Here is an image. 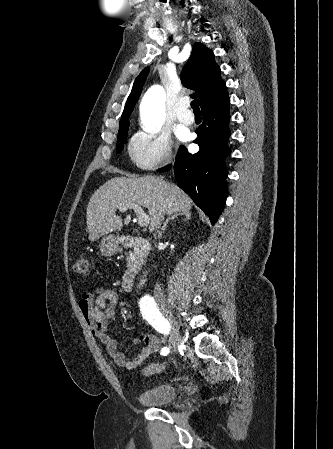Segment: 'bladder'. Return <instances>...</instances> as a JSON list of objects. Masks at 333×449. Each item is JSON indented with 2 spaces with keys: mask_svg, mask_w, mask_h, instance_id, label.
I'll return each instance as SVG.
<instances>
[{
  "mask_svg": "<svg viewBox=\"0 0 333 449\" xmlns=\"http://www.w3.org/2000/svg\"><path fill=\"white\" fill-rule=\"evenodd\" d=\"M180 395L179 389L171 383H160L140 391L137 400L150 407L167 406L174 403Z\"/></svg>",
  "mask_w": 333,
  "mask_h": 449,
  "instance_id": "31cf9c89",
  "label": "bladder"
}]
</instances>
